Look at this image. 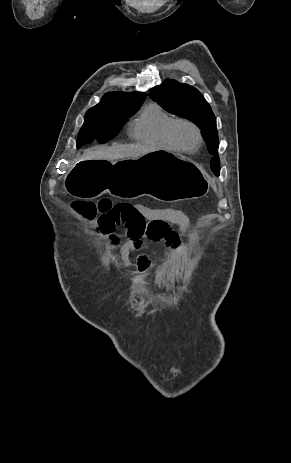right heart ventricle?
<instances>
[{"label": "right heart ventricle", "instance_id": "obj_1", "mask_svg": "<svg viewBox=\"0 0 291 463\" xmlns=\"http://www.w3.org/2000/svg\"><path fill=\"white\" fill-rule=\"evenodd\" d=\"M174 117L157 104L146 106L131 126L134 141L151 147L178 151L168 138V128Z\"/></svg>", "mask_w": 291, "mask_h": 463}]
</instances>
